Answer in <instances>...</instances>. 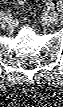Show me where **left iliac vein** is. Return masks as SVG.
<instances>
[{
  "instance_id": "1",
  "label": "left iliac vein",
  "mask_w": 63,
  "mask_h": 107,
  "mask_svg": "<svg viewBox=\"0 0 63 107\" xmlns=\"http://www.w3.org/2000/svg\"><path fill=\"white\" fill-rule=\"evenodd\" d=\"M59 16L56 11H48V20L51 24L55 25L58 23Z\"/></svg>"
}]
</instances>
